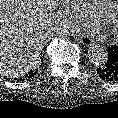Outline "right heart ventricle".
<instances>
[{
    "label": "right heart ventricle",
    "instance_id": "e07e8e85",
    "mask_svg": "<svg viewBox=\"0 0 118 118\" xmlns=\"http://www.w3.org/2000/svg\"><path fill=\"white\" fill-rule=\"evenodd\" d=\"M79 14L93 22L110 21L112 4L116 0H78ZM118 1V0H117Z\"/></svg>",
    "mask_w": 118,
    "mask_h": 118
}]
</instances>
